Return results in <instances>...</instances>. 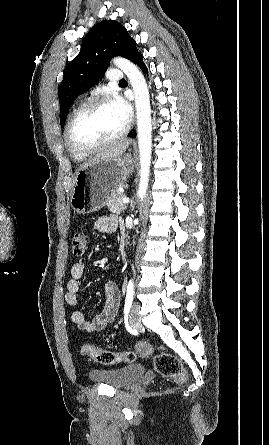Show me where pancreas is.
<instances>
[{"mask_svg": "<svg viewBox=\"0 0 269 445\" xmlns=\"http://www.w3.org/2000/svg\"><path fill=\"white\" fill-rule=\"evenodd\" d=\"M124 197V194L120 193L119 191H114L111 194V197L107 200V207L109 211L120 214L123 210H125L127 207L125 204L122 203V199Z\"/></svg>", "mask_w": 269, "mask_h": 445, "instance_id": "1", "label": "pancreas"}]
</instances>
